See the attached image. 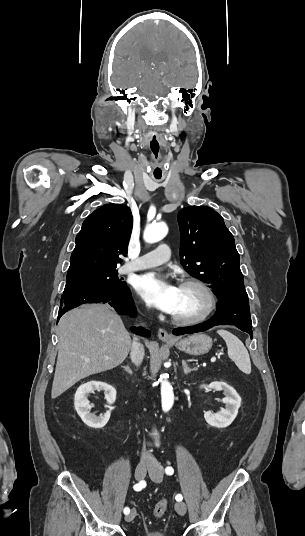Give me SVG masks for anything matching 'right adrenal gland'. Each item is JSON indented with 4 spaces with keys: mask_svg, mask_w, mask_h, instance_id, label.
I'll return each instance as SVG.
<instances>
[{
    "mask_svg": "<svg viewBox=\"0 0 305 536\" xmlns=\"http://www.w3.org/2000/svg\"><path fill=\"white\" fill-rule=\"evenodd\" d=\"M124 370L128 372V374H133L132 370H130L129 366H123Z\"/></svg>",
    "mask_w": 305,
    "mask_h": 536,
    "instance_id": "1",
    "label": "right adrenal gland"
}]
</instances>
